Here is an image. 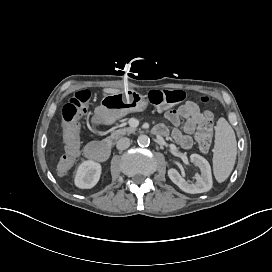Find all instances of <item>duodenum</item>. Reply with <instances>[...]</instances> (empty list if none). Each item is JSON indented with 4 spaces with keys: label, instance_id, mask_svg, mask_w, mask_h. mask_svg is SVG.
<instances>
[{
    "label": "duodenum",
    "instance_id": "410a0bca",
    "mask_svg": "<svg viewBox=\"0 0 272 272\" xmlns=\"http://www.w3.org/2000/svg\"><path fill=\"white\" fill-rule=\"evenodd\" d=\"M109 115L105 109H99L93 119L94 126H100L108 123ZM85 154L87 158L93 161H106L111 154V145L109 143L92 142L86 146Z\"/></svg>",
    "mask_w": 272,
    "mask_h": 272
}]
</instances>
